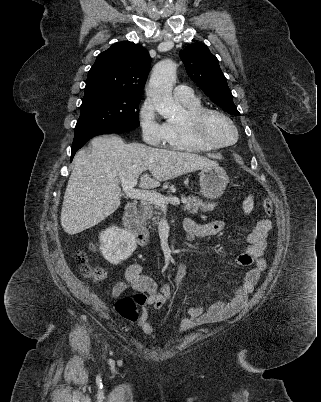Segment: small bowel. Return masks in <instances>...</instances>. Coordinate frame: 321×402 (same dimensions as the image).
Instances as JSON below:
<instances>
[{"mask_svg":"<svg viewBox=\"0 0 321 402\" xmlns=\"http://www.w3.org/2000/svg\"><path fill=\"white\" fill-rule=\"evenodd\" d=\"M223 228L224 224L221 221L209 223H199L193 219L184 221V231L188 241L216 236L222 232ZM271 229L272 224L269 220L260 219L248 234V245L245 251L236 257V262L238 265L251 266V268L245 273L241 284L235 289L231 298L212 303L206 311L199 304L187 308L180 324V331H186L196 325L222 321L244 307L248 296L259 281L261 273L266 270L264 252L267 246V236ZM205 250L217 253L215 247H207ZM185 274V264H178L176 268V290L178 292L182 290ZM128 287L148 294L147 301L141 310L138 325L145 334L154 338L155 330L149 318V307L152 306L155 309L163 307L171 298L170 287L163 285L158 288L157 283L151 277L143 274L141 265L137 263L128 266L125 280L116 283L113 288V295H120Z\"/></svg>","mask_w":321,"mask_h":402,"instance_id":"c3829d8e","label":"small bowel"}]
</instances>
